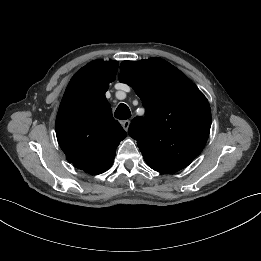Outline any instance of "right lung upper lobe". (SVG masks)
Instances as JSON below:
<instances>
[{
    "instance_id": "1",
    "label": "right lung upper lobe",
    "mask_w": 261,
    "mask_h": 261,
    "mask_svg": "<svg viewBox=\"0 0 261 261\" xmlns=\"http://www.w3.org/2000/svg\"><path fill=\"white\" fill-rule=\"evenodd\" d=\"M118 66L117 61L95 60L82 67L69 82L57 114L56 135L62 151L68 162L89 174L109 169L126 137L105 97Z\"/></svg>"
}]
</instances>
